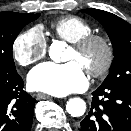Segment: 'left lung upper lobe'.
I'll return each mask as SVG.
<instances>
[{
  "label": "left lung upper lobe",
  "mask_w": 131,
  "mask_h": 131,
  "mask_svg": "<svg viewBox=\"0 0 131 131\" xmlns=\"http://www.w3.org/2000/svg\"><path fill=\"white\" fill-rule=\"evenodd\" d=\"M81 11L91 15L103 25L113 45L114 60L102 86L131 88V25L104 10Z\"/></svg>",
  "instance_id": "obj_1"
}]
</instances>
